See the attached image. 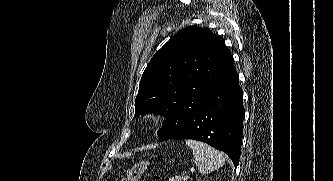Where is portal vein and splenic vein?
Segmentation results:
<instances>
[{
	"label": "portal vein and splenic vein",
	"instance_id": "obj_1",
	"mask_svg": "<svg viewBox=\"0 0 333 181\" xmlns=\"http://www.w3.org/2000/svg\"><path fill=\"white\" fill-rule=\"evenodd\" d=\"M188 178H189L188 175H184V176L182 177V179H183L184 181L188 180Z\"/></svg>",
	"mask_w": 333,
	"mask_h": 181
}]
</instances>
